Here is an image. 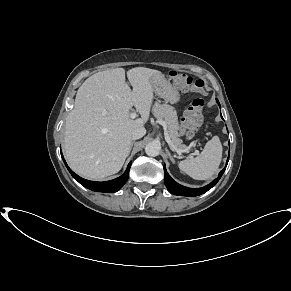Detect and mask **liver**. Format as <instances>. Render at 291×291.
<instances>
[{
    "mask_svg": "<svg viewBox=\"0 0 291 291\" xmlns=\"http://www.w3.org/2000/svg\"><path fill=\"white\" fill-rule=\"evenodd\" d=\"M160 71L137 67L110 69L90 76L79 87L65 123L64 150L77 174L91 180L120 171L129 155L131 134L144 128L154 98L151 78ZM141 118L132 120V107Z\"/></svg>",
    "mask_w": 291,
    "mask_h": 291,
    "instance_id": "6515ba94",
    "label": "liver"
}]
</instances>
